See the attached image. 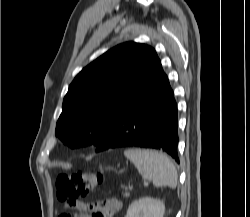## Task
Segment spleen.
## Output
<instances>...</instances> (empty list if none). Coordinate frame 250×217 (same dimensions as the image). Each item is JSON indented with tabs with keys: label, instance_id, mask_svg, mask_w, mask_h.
I'll return each mask as SVG.
<instances>
[{
	"label": "spleen",
	"instance_id": "3e777b00",
	"mask_svg": "<svg viewBox=\"0 0 250 217\" xmlns=\"http://www.w3.org/2000/svg\"><path fill=\"white\" fill-rule=\"evenodd\" d=\"M124 155L135 165L142 178L151 180L155 187L177 186V170L173 161L164 153L134 148L125 150Z\"/></svg>",
	"mask_w": 250,
	"mask_h": 217
}]
</instances>
